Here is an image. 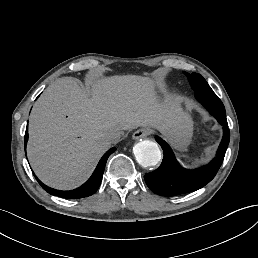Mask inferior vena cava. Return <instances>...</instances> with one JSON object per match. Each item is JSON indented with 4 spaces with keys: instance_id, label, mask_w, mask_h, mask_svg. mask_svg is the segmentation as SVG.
<instances>
[{
    "instance_id": "1",
    "label": "inferior vena cava",
    "mask_w": 258,
    "mask_h": 258,
    "mask_svg": "<svg viewBox=\"0 0 258 258\" xmlns=\"http://www.w3.org/2000/svg\"><path fill=\"white\" fill-rule=\"evenodd\" d=\"M121 138V134L118 131H111L108 132L106 136V140L109 141L110 143H117Z\"/></svg>"
}]
</instances>
